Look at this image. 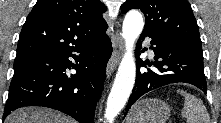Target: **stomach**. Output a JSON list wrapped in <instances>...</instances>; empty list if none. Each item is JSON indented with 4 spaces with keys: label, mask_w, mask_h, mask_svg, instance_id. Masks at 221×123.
<instances>
[{
    "label": "stomach",
    "mask_w": 221,
    "mask_h": 123,
    "mask_svg": "<svg viewBox=\"0 0 221 123\" xmlns=\"http://www.w3.org/2000/svg\"><path fill=\"white\" fill-rule=\"evenodd\" d=\"M171 113L163 100L146 98L137 102L127 116V123H165Z\"/></svg>",
    "instance_id": "1"
}]
</instances>
